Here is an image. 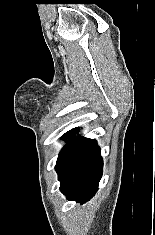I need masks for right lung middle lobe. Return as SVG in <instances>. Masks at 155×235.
Wrapping results in <instances>:
<instances>
[{
  "label": "right lung middle lobe",
  "instance_id": "right-lung-middle-lobe-1",
  "mask_svg": "<svg viewBox=\"0 0 155 235\" xmlns=\"http://www.w3.org/2000/svg\"><path fill=\"white\" fill-rule=\"evenodd\" d=\"M75 132H78V128H74L70 131H68L67 133H65L61 138L62 139H65L66 137H72L73 134ZM77 140V138H74L72 140H70L69 142H67V145L64 146V148L61 150L60 154H59V157L65 152V150L73 143Z\"/></svg>",
  "mask_w": 155,
  "mask_h": 235
}]
</instances>
